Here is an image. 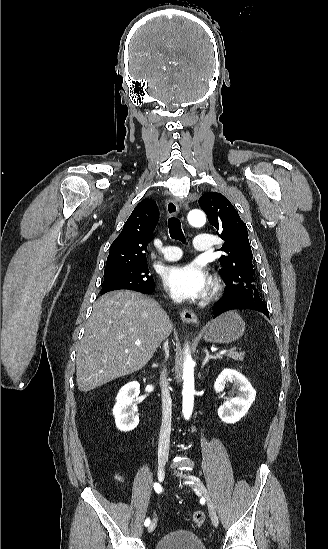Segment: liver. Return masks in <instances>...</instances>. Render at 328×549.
Returning <instances> with one entry per match:
<instances>
[{
	"instance_id": "obj_1",
	"label": "liver",
	"mask_w": 328,
	"mask_h": 549,
	"mask_svg": "<svg viewBox=\"0 0 328 549\" xmlns=\"http://www.w3.org/2000/svg\"><path fill=\"white\" fill-rule=\"evenodd\" d=\"M170 333L172 323L154 299L135 291L103 295L93 305L78 349L79 391L87 393L140 371ZM135 341L141 345L138 347Z\"/></svg>"
}]
</instances>
